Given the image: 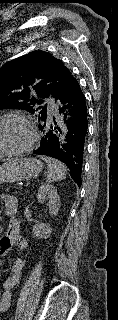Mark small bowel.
Masks as SVG:
<instances>
[{"label": "small bowel", "instance_id": "small-bowel-1", "mask_svg": "<svg viewBox=\"0 0 118 320\" xmlns=\"http://www.w3.org/2000/svg\"><path fill=\"white\" fill-rule=\"evenodd\" d=\"M2 200L4 201L7 209L8 208L11 209V208L15 207V203H14L11 196L4 195V196H2ZM13 226H15L18 231V226H17L16 222H11L10 229ZM14 246H17V245H14ZM23 268H24V261L22 259H17L11 265L8 275L6 276V278L4 279V281L1 285L0 312H5L9 309L10 304H11V298H12V290L16 286V284L19 282Z\"/></svg>", "mask_w": 118, "mask_h": 320}]
</instances>
